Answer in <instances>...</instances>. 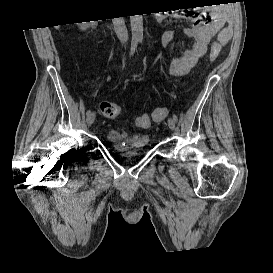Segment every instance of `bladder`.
I'll list each match as a JSON object with an SVG mask.
<instances>
[{
  "instance_id": "31cf9c89",
  "label": "bladder",
  "mask_w": 273,
  "mask_h": 273,
  "mask_svg": "<svg viewBox=\"0 0 273 273\" xmlns=\"http://www.w3.org/2000/svg\"><path fill=\"white\" fill-rule=\"evenodd\" d=\"M110 148L119 157H131L143 152L150 143L147 133H130L111 129L106 134Z\"/></svg>"
}]
</instances>
